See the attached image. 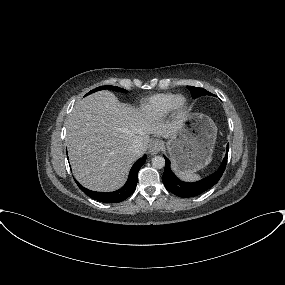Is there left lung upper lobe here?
Returning a JSON list of instances; mask_svg holds the SVG:
<instances>
[{
  "label": "left lung upper lobe",
  "instance_id": "5c2ea615",
  "mask_svg": "<svg viewBox=\"0 0 285 285\" xmlns=\"http://www.w3.org/2000/svg\"><path fill=\"white\" fill-rule=\"evenodd\" d=\"M187 88L190 90L193 98H197V97H200L203 95H213L203 88H198V87H193V86H187ZM213 96H215V95H213Z\"/></svg>",
  "mask_w": 285,
  "mask_h": 285
}]
</instances>
